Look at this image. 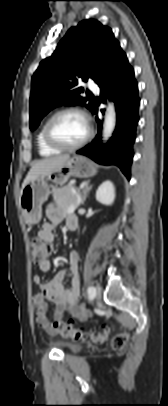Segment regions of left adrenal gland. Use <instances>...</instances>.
I'll list each match as a JSON object with an SVG mask.
<instances>
[{"label":"left adrenal gland","instance_id":"1","mask_svg":"<svg viewBox=\"0 0 168 406\" xmlns=\"http://www.w3.org/2000/svg\"><path fill=\"white\" fill-rule=\"evenodd\" d=\"M90 181H87L86 184L84 185L83 191H82V198H81V205L84 204V202L86 201V198L88 196L89 191L92 188V185H89Z\"/></svg>","mask_w":168,"mask_h":406}]
</instances>
